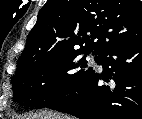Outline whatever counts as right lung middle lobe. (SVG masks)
Returning a JSON list of instances; mask_svg holds the SVG:
<instances>
[{
  "mask_svg": "<svg viewBox=\"0 0 142 119\" xmlns=\"http://www.w3.org/2000/svg\"><path fill=\"white\" fill-rule=\"evenodd\" d=\"M85 54L82 58L80 55ZM84 50L47 56L12 77L13 99L21 106L46 107L76 90L93 71ZM95 60L98 59V54Z\"/></svg>",
  "mask_w": 142,
  "mask_h": 119,
  "instance_id": "1",
  "label": "right lung middle lobe"
}]
</instances>
